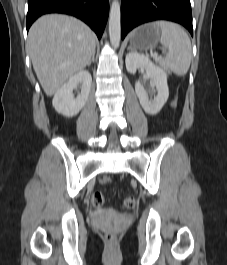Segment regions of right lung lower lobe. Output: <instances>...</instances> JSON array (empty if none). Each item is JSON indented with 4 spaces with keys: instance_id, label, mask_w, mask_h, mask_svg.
I'll list each match as a JSON object with an SVG mask.
<instances>
[{
    "instance_id": "right-lung-lower-lobe-1",
    "label": "right lung lower lobe",
    "mask_w": 227,
    "mask_h": 265,
    "mask_svg": "<svg viewBox=\"0 0 227 265\" xmlns=\"http://www.w3.org/2000/svg\"><path fill=\"white\" fill-rule=\"evenodd\" d=\"M108 0H28L26 28L46 13H65L87 23L100 39L108 18Z\"/></svg>"
}]
</instances>
